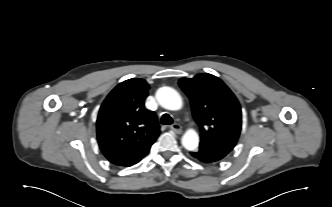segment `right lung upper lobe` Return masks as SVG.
<instances>
[{"instance_id":"cb5924a9","label":"right lung upper lobe","mask_w":332,"mask_h":207,"mask_svg":"<svg viewBox=\"0 0 332 207\" xmlns=\"http://www.w3.org/2000/svg\"><path fill=\"white\" fill-rule=\"evenodd\" d=\"M148 89L143 79L126 80L101 105L96 124L98 144L115 165L129 167L138 163L160 134L155 113L144 106Z\"/></svg>"}]
</instances>
